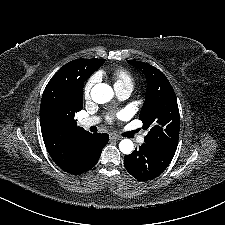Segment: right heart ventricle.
Listing matches in <instances>:
<instances>
[{
    "label": "right heart ventricle",
    "mask_w": 225,
    "mask_h": 225,
    "mask_svg": "<svg viewBox=\"0 0 225 225\" xmlns=\"http://www.w3.org/2000/svg\"><path fill=\"white\" fill-rule=\"evenodd\" d=\"M110 77L114 81L116 89H130L133 90L136 85L134 75L125 68H116L110 72Z\"/></svg>",
    "instance_id": "1"
}]
</instances>
